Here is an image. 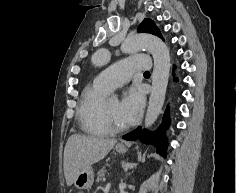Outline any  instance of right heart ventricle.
<instances>
[{"label":"right heart ventricle","instance_id":"e07e8e85","mask_svg":"<svg viewBox=\"0 0 237 193\" xmlns=\"http://www.w3.org/2000/svg\"><path fill=\"white\" fill-rule=\"evenodd\" d=\"M108 92L109 89L96 80L83 89L77 108V118L85 133L92 136H104L109 133L101 118L102 102Z\"/></svg>","mask_w":237,"mask_h":193}]
</instances>
